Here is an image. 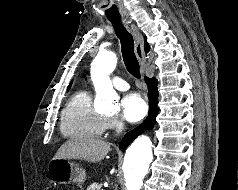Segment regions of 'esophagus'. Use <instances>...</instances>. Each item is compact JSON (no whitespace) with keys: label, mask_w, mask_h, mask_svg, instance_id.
<instances>
[{"label":"esophagus","mask_w":238,"mask_h":190,"mask_svg":"<svg viewBox=\"0 0 238 190\" xmlns=\"http://www.w3.org/2000/svg\"><path fill=\"white\" fill-rule=\"evenodd\" d=\"M126 26L131 29L135 38V54L140 63L141 69L144 71L146 65V55L144 51V39L138 28L130 21L124 20Z\"/></svg>","instance_id":"esophagus-1"}]
</instances>
